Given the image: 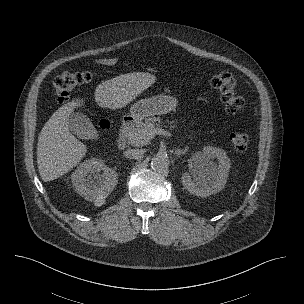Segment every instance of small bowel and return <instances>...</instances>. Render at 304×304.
<instances>
[{"mask_svg": "<svg viewBox=\"0 0 304 304\" xmlns=\"http://www.w3.org/2000/svg\"><path fill=\"white\" fill-rule=\"evenodd\" d=\"M95 62H96V64L102 65V66H114L117 64L118 59L115 57L103 58V59H98Z\"/></svg>", "mask_w": 304, "mask_h": 304, "instance_id": "obj_1", "label": "small bowel"}]
</instances>
